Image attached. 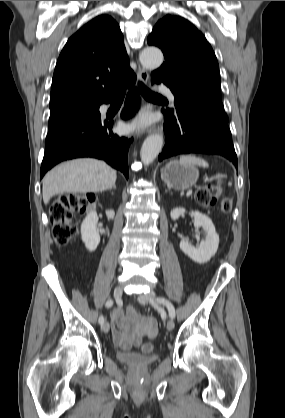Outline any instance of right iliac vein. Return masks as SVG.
<instances>
[{"label": "right iliac vein", "mask_w": 285, "mask_h": 418, "mask_svg": "<svg viewBox=\"0 0 285 418\" xmlns=\"http://www.w3.org/2000/svg\"><path fill=\"white\" fill-rule=\"evenodd\" d=\"M122 294H123V288L121 286H116L115 289H114L115 299H120ZM109 329H110L109 322L108 321L104 322L101 326V330L104 333H108Z\"/></svg>", "instance_id": "1"}]
</instances>
